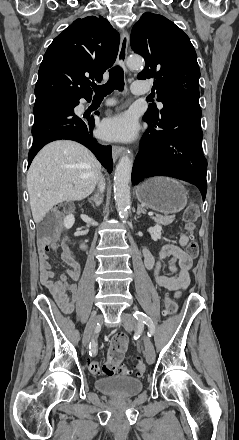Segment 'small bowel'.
Masks as SVG:
<instances>
[{"label": "small bowel", "mask_w": 239, "mask_h": 440, "mask_svg": "<svg viewBox=\"0 0 239 440\" xmlns=\"http://www.w3.org/2000/svg\"><path fill=\"white\" fill-rule=\"evenodd\" d=\"M179 243L182 247L188 243V237L180 234ZM49 250L58 251L60 247L52 243L46 247L39 246L40 279L41 283L52 294L60 308L65 313H71L75 308L77 286L70 283V280L77 281L80 277V264L74 253L68 247L61 249V259L68 266L57 280H54L55 273L51 269L49 262ZM145 266L152 270L157 285L174 291L179 297L190 283V269L192 267V257L189 256L180 246L167 244L162 247L158 257L152 254L148 248L143 250ZM169 259V268L176 275L168 277L160 273L161 261Z\"/></svg>", "instance_id": "c3829d8e"}]
</instances>
